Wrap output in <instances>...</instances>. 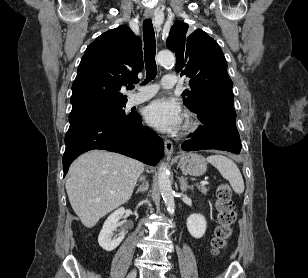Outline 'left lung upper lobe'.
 Wrapping results in <instances>:
<instances>
[{"mask_svg":"<svg viewBox=\"0 0 308 278\" xmlns=\"http://www.w3.org/2000/svg\"><path fill=\"white\" fill-rule=\"evenodd\" d=\"M167 47L175 52L176 70L190 78V90L182 93L184 104L196 111L207 102L233 97V82L218 43L204 31L190 33L188 24L176 21L171 27Z\"/></svg>","mask_w":308,"mask_h":278,"instance_id":"1","label":"left lung upper lobe"}]
</instances>
